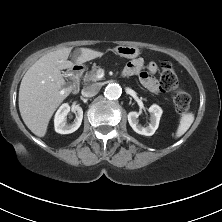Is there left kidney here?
Listing matches in <instances>:
<instances>
[{
  "instance_id": "5707ae66",
  "label": "left kidney",
  "mask_w": 222,
  "mask_h": 222,
  "mask_svg": "<svg viewBox=\"0 0 222 222\" xmlns=\"http://www.w3.org/2000/svg\"><path fill=\"white\" fill-rule=\"evenodd\" d=\"M150 113V123L147 127H143L139 124L138 117L139 112L132 111L128 113V122L132 129L141 135L151 136L155 133L159 126L160 117L162 115V109L156 104H153L149 109Z\"/></svg>"
}]
</instances>
